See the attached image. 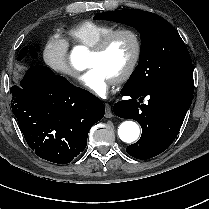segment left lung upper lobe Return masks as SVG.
<instances>
[{
	"label": "left lung upper lobe",
	"mask_w": 209,
	"mask_h": 209,
	"mask_svg": "<svg viewBox=\"0 0 209 209\" xmlns=\"http://www.w3.org/2000/svg\"><path fill=\"white\" fill-rule=\"evenodd\" d=\"M94 19L124 23L140 32L139 63L126 86L143 87L193 74L186 45L176 29L164 18L139 9H125L99 13Z\"/></svg>",
	"instance_id": "5c2ea615"
}]
</instances>
